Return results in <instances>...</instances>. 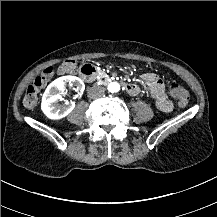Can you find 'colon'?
<instances>
[{
	"mask_svg": "<svg viewBox=\"0 0 217 217\" xmlns=\"http://www.w3.org/2000/svg\"><path fill=\"white\" fill-rule=\"evenodd\" d=\"M59 72L64 75H72L77 72L78 66L75 61L64 60L59 63ZM56 72L53 67H44L39 74L34 76L33 82L28 86L24 98L23 104L26 108L32 109L36 107L38 103V94L42 88H45L48 83H51L55 78ZM171 94L177 99V103L180 106H186L189 102L190 96L187 89L177 82H173L169 85Z\"/></svg>",
	"mask_w": 217,
	"mask_h": 217,
	"instance_id": "5ec220e1",
	"label": "colon"
}]
</instances>
